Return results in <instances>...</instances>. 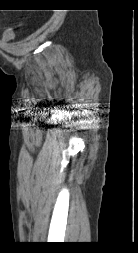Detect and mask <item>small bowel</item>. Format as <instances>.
<instances>
[{
    "instance_id": "obj_1",
    "label": "small bowel",
    "mask_w": 138,
    "mask_h": 253,
    "mask_svg": "<svg viewBox=\"0 0 138 253\" xmlns=\"http://www.w3.org/2000/svg\"><path fill=\"white\" fill-rule=\"evenodd\" d=\"M12 38H13V33H12L11 31L7 30V31H5V32L3 33V39H4L5 41H9V40H11Z\"/></svg>"
}]
</instances>
